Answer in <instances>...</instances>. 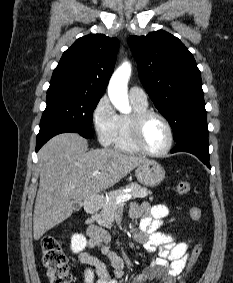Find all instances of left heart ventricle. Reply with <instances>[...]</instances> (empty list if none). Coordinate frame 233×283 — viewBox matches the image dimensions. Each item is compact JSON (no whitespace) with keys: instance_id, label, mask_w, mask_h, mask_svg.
<instances>
[{"instance_id":"b2bd125f","label":"left heart ventricle","mask_w":233,"mask_h":283,"mask_svg":"<svg viewBox=\"0 0 233 283\" xmlns=\"http://www.w3.org/2000/svg\"><path fill=\"white\" fill-rule=\"evenodd\" d=\"M143 141L151 151H161L167 146L169 141L168 130L160 119L152 118L146 123Z\"/></svg>"}]
</instances>
